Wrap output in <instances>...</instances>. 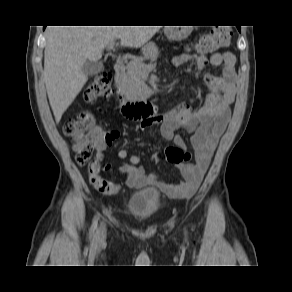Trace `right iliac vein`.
Masks as SVG:
<instances>
[{"instance_id":"right-iliac-vein-1","label":"right iliac vein","mask_w":292,"mask_h":292,"mask_svg":"<svg viewBox=\"0 0 292 292\" xmlns=\"http://www.w3.org/2000/svg\"><path fill=\"white\" fill-rule=\"evenodd\" d=\"M105 232H106L105 226L102 225L101 231H100V233L98 235V239L99 240H103L105 238Z\"/></svg>"}]
</instances>
